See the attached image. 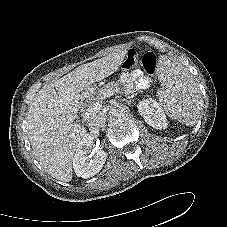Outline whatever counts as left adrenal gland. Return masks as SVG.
<instances>
[{
    "label": "left adrenal gland",
    "mask_w": 227,
    "mask_h": 227,
    "mask_svg": "<svg viewBox=\"0 0 227 227\" xmlns=\"http://www.w3.org/2000/svg\"><path fill=\"white\" fill-rule=\"evenodd\" d=\"M134 97V94L133 95H131V96H127V99L128 100H126L127 102H128V104L131 102V99Z\"/></svg>",
    "instance_id": "obj_1"
}]
</instances>
